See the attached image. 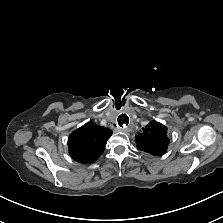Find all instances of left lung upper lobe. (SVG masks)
<instances>
[{
	"instance_id": "5c2ea615",
	"label": "left lung upper lobe",
	"mask_w": 223,
	"mask_h": 223,
	"mask_svg": "<svg viewBox=\"0 0 223 223\" xmlns=\"http://www.w3.org/2000/svg\"><path fill=\"white\" fill-rule=\"evenodd\" d=\"M135 139L139 150L157 156L166 152L170 141L167 136V127L156 121H152L145 126Z\"/></svg>"
}]
</instances>
